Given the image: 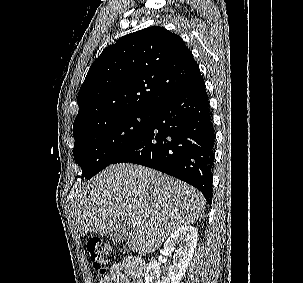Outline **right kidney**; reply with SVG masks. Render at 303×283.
Masks as SVG:
<instances>
[{"mask_svg": "<svg viewBox=\"0 0 303 283\" xmlns=\"http://www.w3.org/2000/svg\"><path fill=\"white\" fill-rule=\"evenodd\" d=\"M198 232L193 226H182L173 232L164 243V254L175 252L173 265H171L168 275L160 278V264L153 259L145 274V283H180L197 246ZM176 243L181 244L179 250L175 249Z\"/></svg>", "mask_w": 303, "mask_h": 283, "instance_id": "right-kidney-1", "label": "right kidney"}]
</instances>
